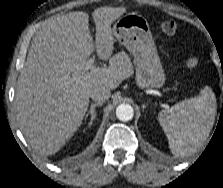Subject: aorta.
<instances>
[{"mask_svg":"<svg viewBox=\"0 0 223 188\" xmlns=\"http://www.w3.org/2000/svg\"><path fill=\"white\" fill-rule=\"evenodd\" d=\"M116 116L120 121H129L134 116V111L131 105L129 104H120L116 108Z\"/></svg>","mask_w":223,"mask_h":188,"instance_id":"1","label":"aorta"}]
</instances>
